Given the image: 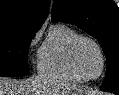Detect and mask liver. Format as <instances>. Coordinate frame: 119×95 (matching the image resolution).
<instances>
[{
  "instance_id": "6515ba94",
  "label": "liver",
  "mask_w": 119,
  "mask_h": 95,
  "mask_svg": "<svg viewBox=\"0 0 119 95\" xmlns=\"http://www.w3.org/2000/svg\"><path fill=\"white\" fill-rule=\"evenodd\" d=\"M75 88L73 84L49 81L40 75L23 82L0 77V95H68Z\"/></svg>"
}]
</instances>
